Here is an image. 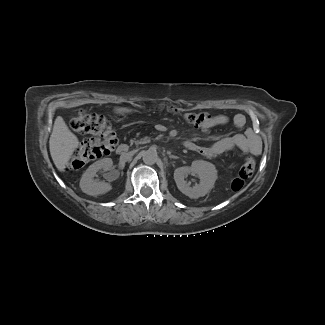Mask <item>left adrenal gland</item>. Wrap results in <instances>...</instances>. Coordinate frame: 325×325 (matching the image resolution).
Wrapping results in <instances>:
<instances>
[{
    "mask_svg": "<svg viewBox=\"0 0 325 325\" xmlns=\"http://www.w3.org/2000/svg\"><path fill=\"white\" fill-rule=\"evenodd\" d=\"M169 154V158H174V159H177L178 157L177 156H174V155H171L170 153H168Z\"/></svg>",
    "mask_w": 325,
    "mask_h": 325,
    "instance_id": "left-adrenal-gland-1",
    "label": "left adrenal gland"
}]
</instances>
